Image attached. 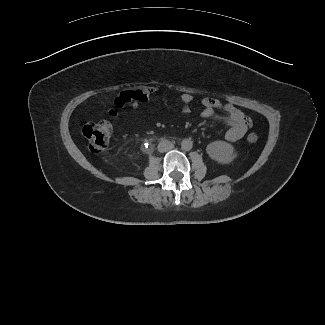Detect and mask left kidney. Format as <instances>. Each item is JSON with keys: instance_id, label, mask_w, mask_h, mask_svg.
Wrapping results in <instances>:
<instances>
[{"instance_id": "1", "label": "left kidney", "mask_w": 325, "mask_h": 325, "mask_svg": "<svg viewBox=\"0 0 325 325\" xmlns=\"http://www.w3.org/2000/svg\"><path fill=\"white\" fill-rule=\"evenodd\" d=\"M206 152L211 159L221 164L231 163L237 156L230 143L225 141H214L207 145Z\"/></svg>"}]
</instances>
